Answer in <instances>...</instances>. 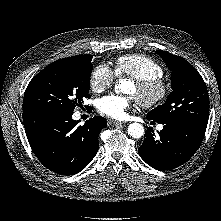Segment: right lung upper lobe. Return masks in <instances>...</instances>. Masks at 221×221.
<instances>
[{
    "label": "right lung upper lobe",
    "instance_id": "obj_1",
    "mask_svg": "<svg viewBox=\"0 0 221 221\" xmlns=\"http://www.w3.org/2000/svg\"><path fill=\"white\" fill-rule=\"evenodd\" d=\"M78 56H80V55H78ZM78 56H72V57H69V58H77Z\"/></svg>",
    "mask_w": 221,
    "mask_h": 221
}]
</instances>
